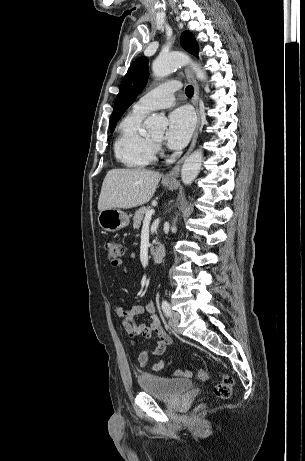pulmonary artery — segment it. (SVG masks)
<instances>
[{
	"instance_id": "1",
	"label": "pulmonary artery",
	"mask_w": 305,
	"mask_h": 461,
	"mask_svg": "<svg viewBox=\"0 0 305 461\" xmlns=\"http://www.w3.org/2000/svg\"><path fill=\"white\" fill-rule=\"evenodd\" d=\"M180 89L177 81L165 82L141 96L134 104L133 110L148 113L157 109L167 108L174 103V93Z\"/></svg>"
}]
</instances>
